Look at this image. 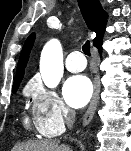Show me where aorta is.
<instances>
[{"mask_svg":"<svg viewBox=\"0 0 131 151\" xmlns=\"http://www.w3.org/2000/svg\"><path fill=\"white\" fill-rule=\"evenodd\" d=\"M40 73L44 84L49 88L56 87L63 75V53L58 40L49 41L41 54Z\"/></svg>","mask_w":131,"mask_h":151,"instance_id":"1","label":"aorta"}]
</instances>
